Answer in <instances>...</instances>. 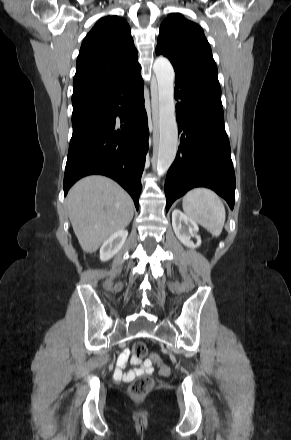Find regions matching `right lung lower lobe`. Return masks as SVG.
<instances>
[{"instance_id": "right-lung-lower-lobe-1", "label": "right lung lower lobe", "mask_w": 291, "mask_h": 440, "mask_svg": "<svg viewBox=\"0 0 291 440\" xmlns=\"http://www.w3.org/2000/svg\"><path fill=\"white\" fill-rule=\"evenodd\" d=\"M72 105L64 195L78 179L101 174L117 181L138 210L149 138L140 71L112 85L73 92Z\"/></svg>"}]
</instances>
